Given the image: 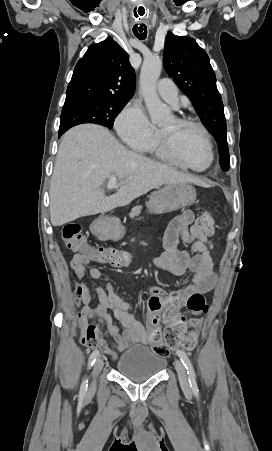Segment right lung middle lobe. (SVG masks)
<instances>
[{
	"instance_id": "right-lung-middle-lobe-1",
	"label": "right lung middle lobe",
	"mask_w": 272,
	"mask_h": 451,
	"mask_svg": "<svg viewBox=\"0 0 272 451\" xmlns=\"http://www.w3.org/2000/svg\"><path fill=\"white\" fill-rule=\"evenodd\" d=\"M129 100L80 98L65 101L60 118L59 137L71 127L95 123L111 129L116 116Z\"/></svg>"
}]
</instances>
